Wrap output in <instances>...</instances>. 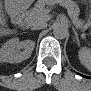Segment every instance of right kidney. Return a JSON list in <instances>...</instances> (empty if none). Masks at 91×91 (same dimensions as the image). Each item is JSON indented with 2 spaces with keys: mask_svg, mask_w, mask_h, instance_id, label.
Masks as SVG:
<instances>
[{
  "mask_svg": "<svg viewBox=\"0 0 91 91\" xmlns=\"http://www.w3.org/2000/svg\"><path fill=\"white\" fill-rule=\"evenodd\" d=\"M34 47L35 42L32 40L20 42L18 38L10 39L0 49V60L6 63H20L31 56Z\"/></svg>",
  "mask_w": 91,
  "mask_h": 91,
  "instance_id": "ca27d5eb",
  "label": "right kidney"
}]
</instances>
